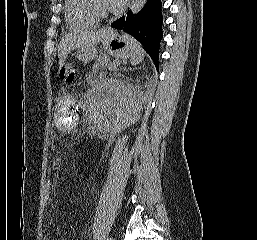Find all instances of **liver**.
Listing matches in <instances>:
<instances>
[{
	"instance_id": "6515ba94",
	"label": "liver",
	"mask_w": 257,
	"mask_h": 240,
	"mask_svg": "<svg viewBox=\"0 0 257 240\" xmlns=\"http://www.w3.org/2000/svg\"><path fill=\"white\" fill-rule=\"evenodd\" d=\"M107 29L99 31H81L79 33L67 34L62 37L58 47V57L60 68L64 65L68 54L80 47L95 46L107 35Z\"/></svg>"
}]
</instances>
